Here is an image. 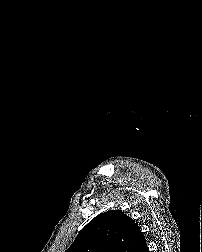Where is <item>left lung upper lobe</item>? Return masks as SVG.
I'll return each instance as SVG.
<instances>
[{"label":"left lung upper lobe","instance_id":"1","mask_svg":"<svg viewBox=\"0 0 202 252\" xmlns=\"http://www.w3.org/2000/svg\"><path fill=\"white\" fill-rule=\"evenodd\" d=\"M139 234L135 220L111 210L92 219L65 252H134Z\"/></svg>","mask_w":202,"mask_h":252}]
</instances>
